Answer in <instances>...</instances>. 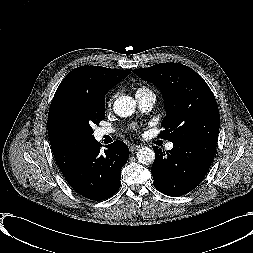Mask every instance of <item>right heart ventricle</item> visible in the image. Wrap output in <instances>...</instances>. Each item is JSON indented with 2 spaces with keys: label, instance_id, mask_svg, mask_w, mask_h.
Segmentation results:
<instances>
[{
  "label": "right heart ventricle",
  "instance_id": "e07e8e85",
  "mask_svg": "<svg viewBox=\"0 0 253 253\" xmlns=\"http://www.w3.org/2000/svg\"><path fill=\"white\" fill-rule=\"evenodd\" d=\"M152 93V91L145 87H140L136 90V95H146Z\"/></svg>",
  "mask_w": 253,
  "mask_h": 253
}]
</instances>
